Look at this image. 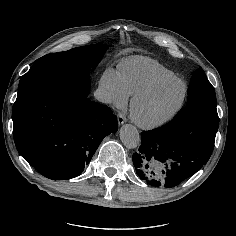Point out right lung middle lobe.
I'll list each match as a JSON object with an SVG mask.
<instances>
[{
  "instance_id": "dd1d6c3e",
  "label": "right lung middle lobe",
  "mask_w": 236,
  "mask_h": 236,
  "mask_svg": "<svg viewBox=\"0 0 236 236\" xmlns=\"http://www.w3.org/2000/svg\"><path fill=\"white\" fill-rule=\"evenodd\" d=\"M106 50L105 44H93L39 58L21 77L18 95L34 86L88 74L90 67H95L100 62Z\"/></svg>"
}]
</instances>
